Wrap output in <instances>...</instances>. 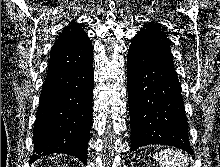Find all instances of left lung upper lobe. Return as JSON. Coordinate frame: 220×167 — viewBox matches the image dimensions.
Here are the masks:
<instances>
[{"label":"left lung upper lobe","instance_id":"5c2ea615","mask_svg":"<svg viewBox=\"0 0 220 167\" xmlns=\"http://www.w3.org/2000/svg\"><path fill=\"white\" fill-rule=\"evenodd\" d=\"M129 50L139 54L172 57L170 43L163 30L155 23H147L133 38Z\"/></svg>","mask_w":220,"mask_h":167}]
</instances>
